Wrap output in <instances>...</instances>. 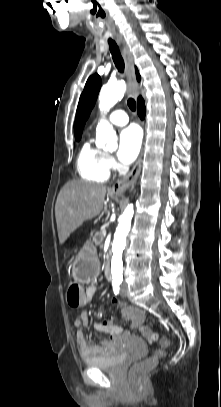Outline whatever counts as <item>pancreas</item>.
I'll list each match as a JSON object with an SVG mask.
<instances>
[{"instance_id": "obj_1", "label": "pancreas", "mask_w": 221, "mask_h": 407, "mask_svg": "<svg viewBox=\"0 0 221 407\" xmlns=\"http://www.w3.org/2000/svg\"><path fill=\"white\" fill-rule=\"evenodd\" d=\"M104 230H101L100 232L96 233V236L93 238V241L96 245L102 247L103 246V240H104Z\"/></svg>"}]
</instances>
